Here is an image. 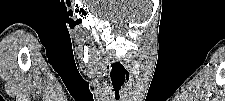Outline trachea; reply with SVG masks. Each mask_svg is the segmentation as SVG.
<instances>
[{
    "label": "trachea",
    "instance_id": "obj_1",
    "mask_svg": "<svg viewBox=\"0 0 225 101\" xmlns=\"http://www.w3.org/2000/svg\"><path fill=\"white\" fill-rule=\"evenodd\" d=\"M115 98H116L117 100L119 99V93H118V92L115 93Z\"/></svg>",
    "mask_w": 225,
    "mask_h": 101
}]
</instances>
